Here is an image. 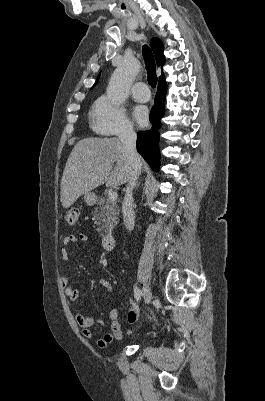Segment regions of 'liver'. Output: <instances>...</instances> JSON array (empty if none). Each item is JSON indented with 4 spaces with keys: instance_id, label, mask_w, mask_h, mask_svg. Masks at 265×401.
Wrapping results in <instances>:
<instances>
[{
    "instance_id": "obj_1",
    "label": "liver",
    "mask_w": 265,
    "mask_h": 401,
    "mask_svg": "<svg viewBox=\"0 0 265 401\" xmlns=\"http://www.w3.org/2000/svg\"><path fill=\"white\" fill-rule=\"evenodd\" d=\"M130 172L127 152L120 138H82L72 148L65 164L61 180L64 209H69L81 194L90 192L103 182L107 186L125 184Z\"/></svg>"
}]
</instances>
